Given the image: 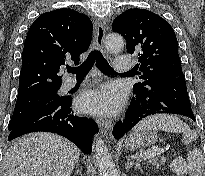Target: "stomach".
Segmentation results:
<instances>
[{
    "instance_id": "stomach-1",
    "label": "stomach",
    "mask_w": 205,
    "mask_h": 176,
    "mask_svg": "<svg viewBox=\"0 0 205 176\" xmlns=\"http://www.w3.org/2000/svg\"><path fill=\"white\" fill-rule=\"evenodd\" d=\"M157 140V133L151 130L134 131L124 142L128 150H135L149 147Z\"/></svg>"
}]
</instances>
